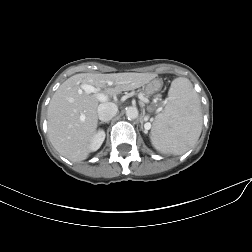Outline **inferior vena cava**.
I'll return each instance as SVG.
<instances>
[{
	"label": "inferior vena cava",
	"mask_w": 252,
	"mask_h": 252,
	"mask_svg": "<svg viewBox=\"0 0 252 252\" xmlns=\"http://www.w3.org/2000/svg\"><path fill=\"white\" fill-rule=\"evenodd\" d=\"M118 108L117 105L111 102L101 103L98 106V118L102 122L110 121L117 113Z\"/></svg>",
	"instance_id": "inferior-vena-cava-1"
}]
</instances>
